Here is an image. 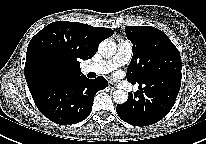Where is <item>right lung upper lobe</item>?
Listing matches in <instances>:
<instances>
[{"mask_svg": "<svg viewBox=\"0 0 206 144\" xmlns=\"http://www.w3.org/2000/svg\"><path fill=\"white\" fill-rule=\"evenodd\" d=\"M113 33L109 28L68 21H56L44 27L27 48L24 72L29 90L84 76L80 60L92 58L99 43Z\"/></svg>", "mask_w": 206, "mask_h": 144, "instance_id": "1", "label": "right lung upper lobe"}]
</instances>
